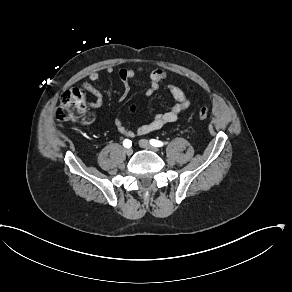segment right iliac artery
Listing matches in <instances>:
<instances>
[{
  "label": "right iliac artery",
  "instance_id": "obj_1",
  "mask_svg": "<svg viewBox=\"0 0 292 292\" xmlns=\"http://www.w3.org/2000/svg\"><path fill=\"white\" fill-rule=\"evenodd\" d=\"M123 145H124V147H126V148H130L131 145H132V142H131V140H129V139H125V140L123 141Z\"/></svg>",
  "mask_w": 292,
  "mask_h": 292
}]
</instances>
